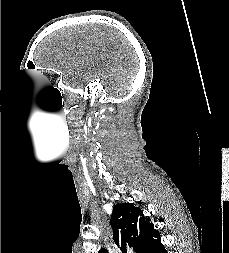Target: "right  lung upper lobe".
<instances>
[{
  "mask_svg": "<svg viewBox=\"0 0 229 253\" xmlns=\"http://www.w3.org/2000/svg\"><path fill=\"white\" fill-rule=\"evenodd\" d=\"M110 224L113 240L122 253H127L129 248L135 253H148L160 241V233L150 218L132 203L114 205ZM98 253H108V250L102 248Z\"/></svg>",
  "mask_w": 229,
  "mask_h": 253,
  "instance_id": "right-lung-upper-lobe-1",
  "label": "right lung upper lobe"
}]
</instances>
